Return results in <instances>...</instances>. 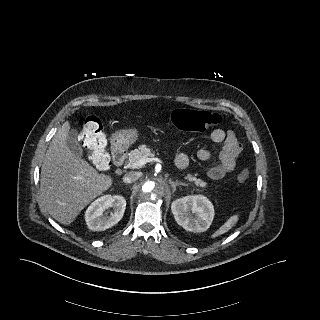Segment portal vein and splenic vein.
Here are the masks:
<instances>
[{
  "mask_svg": "<svg viewBox=\"0 0 320 320\" xmlns=\"http://www.w3.org/2000/svg\"><path fill=\"white\" fill-rule=\"evenodd\" d=\"M150 161H159V162H161V160L158 159V158H146V159L142 158V159H140V160H138V161H136L134 163H128L127 167L128 168H133V169L139 168V167H142L143 165H145L147 162H150Z\"/></svg>",
  "mask_w": 320,
  "mask_h": 320,
  "instance_id": "obj_1",
  "label": "portal vein and splenic vein"
}]
</instances>
